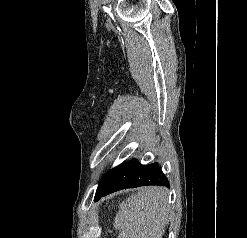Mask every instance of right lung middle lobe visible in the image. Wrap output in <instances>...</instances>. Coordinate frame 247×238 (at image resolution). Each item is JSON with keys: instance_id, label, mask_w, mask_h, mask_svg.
I'll return each instance as SVG.
<instances>
[{"instance_id": "dd1d6c3e", "label": "right lung middle lobe", "mask_w": 247, "mask_h": 238, "mask_svg": "<svg viewBox=\"0 0 247 238\" xmlns=\"http://www.w3.org/2000/svg\"><path fill=\"white\" fill-rule=\"evenodd\" d=\"M117 168H114L112 170H110L103 178L102 180L100 181L99 183V186L97 188V191H96V195L95 197H97L105 188L106 186L108 185V183L110 182V180L112 179L113 177V174L115 172Z\"/></svg>"}]
</instances>
